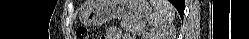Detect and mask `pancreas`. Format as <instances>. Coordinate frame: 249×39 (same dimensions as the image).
<instances>
[{"instance_id": "cf45deb5", "label": "pancreas", "mask_w": 249, "mask_h": 39, "mask_svg": "<svg viewBox=\"0 0 249 39\" xmlns=\"http://www.w3.org/2000/svg\"><path fill=\"white\" fill-rule=\"evenodd\" d=\"M121 26L127 32H132L134 34H141L144 30L143 21L139 20L123 19Z\"/></svg>"}]
</instances>
